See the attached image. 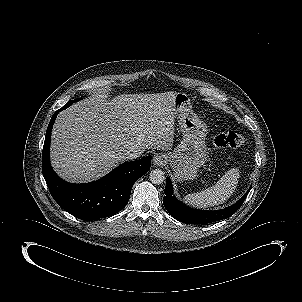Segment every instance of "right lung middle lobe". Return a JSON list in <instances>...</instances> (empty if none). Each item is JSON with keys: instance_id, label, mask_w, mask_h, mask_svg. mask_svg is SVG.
<instances>
[{"instance_id": "1", "label": "right lung middle lobe", "mask_w": 302, "mask_h": 302, "mask_svg": "<svg viewBox=\"0 0 302 302\" xmlns=\"http://www.w3.org/2000/svg\"><path fill=\"white\" fill-rule=\"evenodd\" d=\"M76 101H78V100H70V101L67 102L61 109L63 110V109H65V108L69 107L72 103H74V102H76Z\"/></svg>"}]
</instances>
